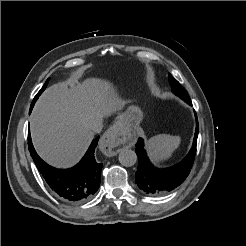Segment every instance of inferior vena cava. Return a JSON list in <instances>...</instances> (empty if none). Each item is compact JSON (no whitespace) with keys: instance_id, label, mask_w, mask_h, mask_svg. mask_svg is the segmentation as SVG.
Returning a JSON list of instances; mask_svg holds the SVG:
<instances>
[{"instance_id":"obj_1","label":"inferior vena cava","mask_w":246,"mask_h":246,"mask_svg":"<svg viewBox=\"0 0 246 246\" xmlns=\"http://www.w3.org/2000/svg\"><path fill=\"white\" fill-rule=\"evenodd\" d=\"M103 115L98 114L93 116L88 123V127L93 133H100L103 128Z\"/></svg>"}]
</instances>
